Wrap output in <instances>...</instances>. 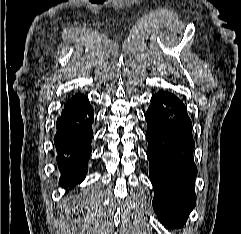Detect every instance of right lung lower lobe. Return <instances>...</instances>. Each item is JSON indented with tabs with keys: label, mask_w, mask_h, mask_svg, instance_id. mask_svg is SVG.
Returning <instances> with one entry per match:
<instances>
[{
	"label": "right lung lower lobe",
	"mask_w": 241,
	"mask_h": 234,
	"mask_svg": "<svg viewBox=\"0 0 241 234\" xmlns=\"http://www.w3.org/2000/svg\"><path fill=\"white\" fill-rule=\"evenodd\" d=\"M93 108L81 94L69 99L57 119L54 137L57 164L63 187L80 183L87 173L91 154Z\"/></svg>",
	"instance_id": "1"
}]
</instances>
